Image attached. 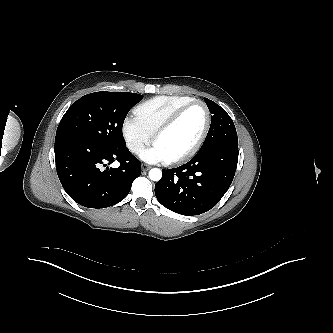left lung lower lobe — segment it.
I'll return each mask as SVG.
<instances>
[{
	"label": "left lung lower lobe",
	"mask_w": 333,
	"mask_h": 333,
	"mask_svg": "<svg viewBox=\"0 0 333 333\" xmlns=\"http://www.w3.org/2000/svg\"><path fill=\"white\" fill-rule=\"evenodd\" d=\"M238 154V143H216L200 149L185 165L162 170L163 176L155 185L157 200L169 210L186 216L210 210L229 189Z\"/></svg>",
	"instance_id": "obj_1"
}]
</instances>
